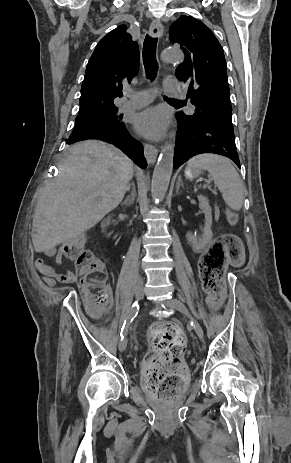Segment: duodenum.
<instances>
[{"mask_svg":"<svg viewBox=\"0 0 291 463\" xmlns=\"http://www.w3.org/2000/svg\"><path fill=\"white\" fill-rule=\"evenodd\" d=\"M113 221H114V219L112 217H109V218H106L102 223L103 232H104L105 236H107V237H112L113 236V232L110 230V227H111Z\"/></svg>","mask_w":291,"mask_h":463,"instance_id":"obj_1","label":"duodenum"}]
</instances>
